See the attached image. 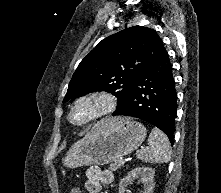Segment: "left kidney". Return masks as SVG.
<instances>
[{
  "mask_svg": "<svg viewBox=\"0 0 221 193\" xmlns=\"http://www.w3.org/2000/svg\"><path fill=\"white\" fill-rule=\"evenodd\" d=\"M154 170L149 167H137L131 170L126 177L119 182V193H124L129 182L134 178L141 177V182L144 184L143 193H152L154 188Z\"/></svg>",
  "mask_w": 221,
  "mask_h": 193,
  "instance_id": "5707ae66",
  "label": "left kidney"
}]
</instances>
